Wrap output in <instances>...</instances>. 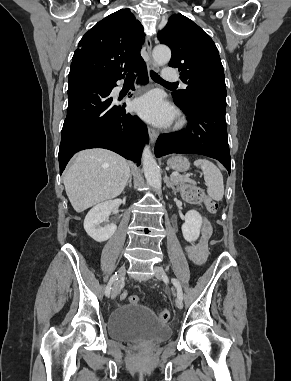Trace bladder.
Instances as JSON below:
<instances>
[{
    "label": "bladder",
    "instance_id": "31cf9c89",
    "mask_svg": "<svg viewBox=\"0 0 291 381\" xmlns=\"http://www.w3.org/2000/svg\"><path fill=\"white\" fill-rule=\"evenodd\" d=\"M108 334L121 342H159L171 335L168 323L160 321L141 303L122 304L108 316Z\"/></svg>",
    "mask_w": 291,
    "mask_h": 381
}]
</instances>
